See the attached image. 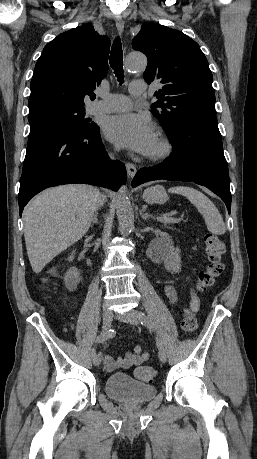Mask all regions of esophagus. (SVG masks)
Returning <instances> with one entry per match:
<instances>
[{"label":"esophagus","instance_id":"1","mask_svg":"<svg viewBox=\"0 0 257 459\" xmlns=\"http://www.w3.org/2000/svg\"><path fill=\"white\" fill-rule=\"evenodd\" d=\"M115 23H116V27H117V30L120 34H123L124 32V22L122 20V18L120 16H117L115 18ZM126 170H127V173H128V176L130 178H133L137 172V169H136V166L133 164V163H130V162H127L126 163Z\"/></svg>","mask_w":257,"mask_h":459}]
</instances>
